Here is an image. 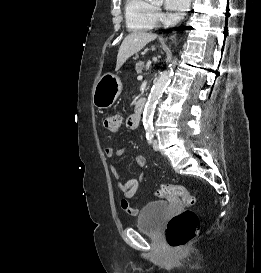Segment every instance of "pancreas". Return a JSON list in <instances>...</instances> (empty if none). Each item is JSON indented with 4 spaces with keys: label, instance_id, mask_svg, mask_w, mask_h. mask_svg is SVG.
Masks as SVG:
<instances>
[{
    "label": "pancreas",
    "instance_id": "pancreas-1",
    "mask_svg": "<svg viewBox=\"0 0 261 273\" xmlns=\"http://www.w3.org/2000/svg\"><path fill=\"white\" fill-rule=\"evenodd\" d=\"M143 69H145V65H144V62L143 61H140L138 63H136L135 65V70L138 74H141Z\"/></svg>",
    "mask_w": 261,
    "mask_h": 273
}]
</instances>
